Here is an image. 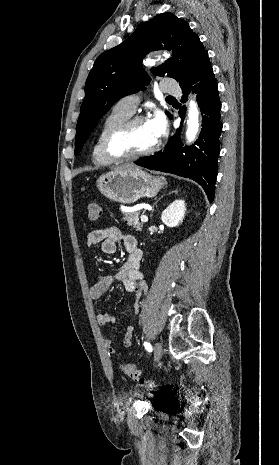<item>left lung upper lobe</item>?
Masks as SVG:
<instances>
[{
	"label": "left lung upper lobe",
	"instance_id": "5c2ea615",
	"mask_svg": "<svg viewBox=\"0 0 279 465\" xmlns=\"http://www.w3.org/2000/svg\"><path fill=\"white\" fill-rule=\"evenodd\" d=\"M173 50L174 57L152 69L156 76H168L179 83L194 71L207 52L188 23L172 13H162L141 23L120 45L102 53L85 84V98L76 126L75 155L110 107L121 97L144 88L151 80L140 68L150 50ZM169 117L172 115L166 112Z\"/></svg>",
	"mask_w": 279,
	"mask_h": 465
}]
</instances>
